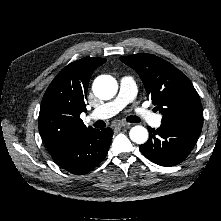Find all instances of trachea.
I'll use <instances>...</instances> for the list:
<instances>
[{
    "instance_id": "trachea-1",
    "label": "trachea",
    "mask_w": 221,
    "mask_h": 221,
    "mask_svg": "<svg viewBox=\"0 0 221 221\" xmlns=\"http://www.w3.org/2000/svg\"><path fill=\"white\" fill-rule=\"evenodd\" d=\"M127 121L128 122H133V123H138L141 122L140 118L136 117V116H129L127 117ZM96 127L98 128H102L105 126V122L102 120H99L95 123Z\"/></svg>"
}]
</instances>
